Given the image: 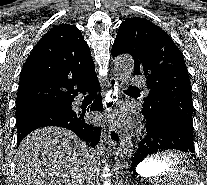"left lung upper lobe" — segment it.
Listing matches in <instances>:
<instances>
[{
  "label": "left lung upper lobe",
  "mask_w": 207,
  "mask_h": 185,
  "mask_svg": "<svg viewBox=\"0 0 207 185\" xmlns=\"http://www.w3.org/2000/svg\"><path fill=\"white\" fill-rule=\"evenodd\" d=\"M112 56L132 55L135 75H144L150 89L143 112L168 111L192 127L191 85L183 55L169 35L149 20L125 19L112 46Z\"/></svg>",
  "instance_id": "5c2ea615"
}]
</instances>
